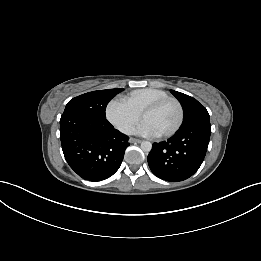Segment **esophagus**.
Instances as JSON below:
<instances>
[{
    "label": "esophagus",
    "mask_w": 261,
    "mask_h": 261,
    "mask_svg": "<svg viewBox=\"0 0 261 261\" xmlns=\"http://www.w3.org/2000/svg\"><path fill=\"white\" fill-rule=\"evenodd\" d=\"M131 143H140L141 140L140 139H137V138H130L129 140Z\"/></svg>",
    "instance_id": "1"
}]
</instances>
